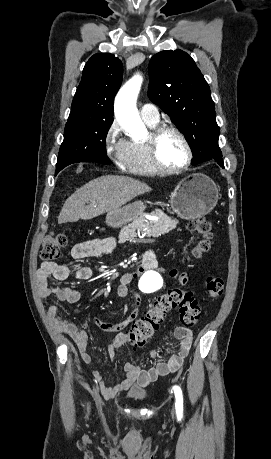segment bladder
I'll use <instances>...</instances> for the list:
<instances>
[{"mask_svg":"<svg viewBox=\"0 0 271 459\" xmlns=\"http://www.w3.org/2000/svg\"><path fill=\"white\" fill-rule=\"evenodd\" d=\"M128 395L132 398H134L135 400H137L138 402H142L144 401L145 399V391L144 390H134V391H130L128 393Z\"/></svg>","mask_w":271,"mask_h":459,"instance_id":"1","label":"bladder"}]
</instances>
